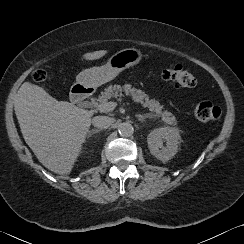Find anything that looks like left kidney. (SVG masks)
Instances as JSON below:
<instances>
[{"instance_id":"obj_1","label":"left kidney","mask_w":244,"mask_h":244,"mask_svg":"<svg viewBox=\"0 0 244 244\" xmlns=\"http://www.w3.org/2000/svg\"><path fill=\"white\" fill-rule=\"evenodd\" d=\"M148 147L153 156L162 162L177 153L181 143L180 130L176 127H160L147 136Z\"/></svg>"}]
</instances>
